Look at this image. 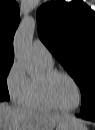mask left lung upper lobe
<instances>
[{
    "mask_svg": "<svg viewBox=\"0 0 95 130\" xmlns=\"http://www.w3.org/2000/svg\"><path fill=\"white\" fill-rule=\"evenodd\" d=\"M38 33L80 87L82 108L95 104V13L84 2L57 0L37 11Z\"/></svg>",
    "mask_w": 95,
    "mask_h": 130,
    "instance_id": "5c2ea615",
    "label": "left lung upper lobe"
}]
</instances>
